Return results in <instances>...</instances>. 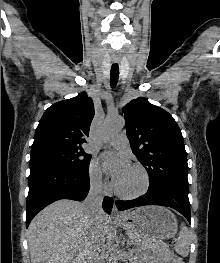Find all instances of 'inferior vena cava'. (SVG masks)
<instances>
[{
    "label": "inferior vena cava",
    "mask_w": 220,
    "mask_h": 263,
    "mask_svg": "<svg viewBox=\"0 0 220 263\" xmlns=\"http://www.w3.org/2000/svg\"><path fill=\"white\" fill-rule=\"evenodd\" d=\"M104 199L103 184L101 179L93 180L90 183V190L84 201L87 216L94 222L99 220L103 214L102 202ZM105 252V238L96 233L93 236L92 250L90 252L88 263H103Z\"/></svg>",
    "instance_id": "inferior-vena-cava-1"
}]
</instances>
